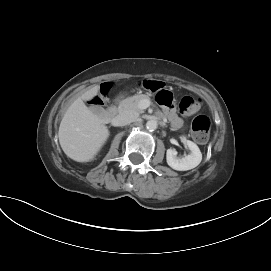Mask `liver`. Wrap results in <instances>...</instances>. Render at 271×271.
I'll return each instance as SVG.
<instances>
[{
  "label": "liver",
  "instance_id": "liver-1",
  "mask_svg": "<svg viewBox=\"0 0 271 271\" xmlns=\"http://www.w3.org/2000/svg\"><path fill=\"white\" fill-rule=\"evenodd\" d=\"M99 91L95 85L79 96L66 110L59 127V143L64 153L77 162L94 159L109 137L102 119L84 103Z\"/></svg>",
  "mask_w": 271,
  "mask_h": 271
}]
</instances>
